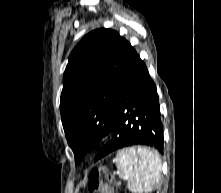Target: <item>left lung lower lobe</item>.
Masks as SVG:
<instances>
[{
	"mask_svg": "<svg viewBox=\"0 0 221 193\" xmlns=\"http://www.w3.org/2000/svg\"><path fill=\"white\" fill-rule=\"evenodd\" d=\"M111 132L114 138L97 153L95 161L132 145L152 146L163 153V125L156 86L138 54L120 85Z\"/></svg>",
	"mask_w": 221,
	"mask_h": 193,
	"instance_id": "obj_1",
	"label": "left lung lower lobe"
}]
</instances>
